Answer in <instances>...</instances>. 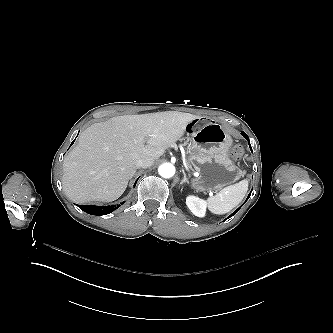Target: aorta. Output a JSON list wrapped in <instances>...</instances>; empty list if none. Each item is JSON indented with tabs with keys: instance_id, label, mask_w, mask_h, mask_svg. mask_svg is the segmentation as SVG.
Wrapping results in <instances>:
<instances>
[{
	"instance_id": "obj_1",
	"label": "aorta",
	"mask_w": 333,
	"mask_h": 333,
	"mask_svg": "<svg viewBox=\"0 0 333 333\" xmlns=\"http://www.w3.org/2000/svg\"><path fill=\"white\" fill-rule=\"evenodd\" d=\"M158 172L161 177L169 179L175 175V167L170 163H165L159 167Z\"/></svg>"
}]
</instances>
